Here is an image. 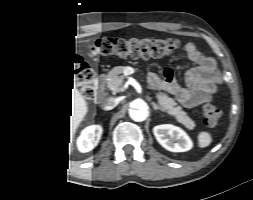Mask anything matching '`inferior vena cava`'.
Here are the masks:
<instances>
[{
	"mask_svg": "<svg viewBox=\"0 0 253 200\" xmlns=\"http://www.w3.org/2000/svg\"><path fill=\"white\" fill-rule=\"evenodd\" d=\"M118 104V99L117 98H113V97H109L107 99H105L102 103V108L104 110H111L113 109L116 105Z\"/></svg>",
	"mask_w": 253,
	"mask_h": 200,
	"instance_id": "obj_1",
	"label": "inferior vena cava"
}]
</instances>
